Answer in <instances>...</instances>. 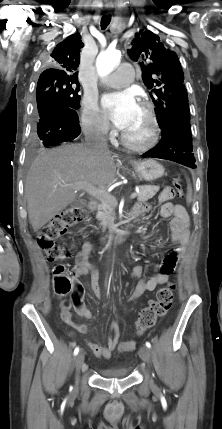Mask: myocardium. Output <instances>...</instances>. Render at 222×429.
<instances>
[{"label":"myocardium","mask_w":222,"mask_h":429,"mask_svg":"<svg viewBox=\"0 0 222 429\" xmlns=\"http://www.w3.org/2000/svg\"><path fill=\"white\" fill-rule=\"evenodd\" d=\"M139 106H141L147 114L149 122L147 138L144 141L137 142L132 140L127 133L123 132L121 134V140L127 148L133 151L143 152L152 149L158 143L160 126L154 106L149 101L142 100L140 101Z\"/></svg>","instance_id":"f54148a6"}]
</instances>
